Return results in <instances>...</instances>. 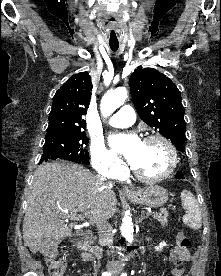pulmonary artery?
Returning <instances> with one entry per match:
<instances>
[{
  "instance_id": "1",
  "label": "pulmonary artery",
  "mask_w": 221,
  "mask_h": 276,
  "mask_svg": "<svg viewBox=\"0 0 221 276\" xmlns=\"http://www.w3.org/2000/svg\"><path fill=\"white\" fill-rule=\"evenodd\" d=\"M135 118L134 109L131 106L125 105L110 118L109 124L118 128L128 127L135 122Z\"/></svg>"
}]
</instances>
